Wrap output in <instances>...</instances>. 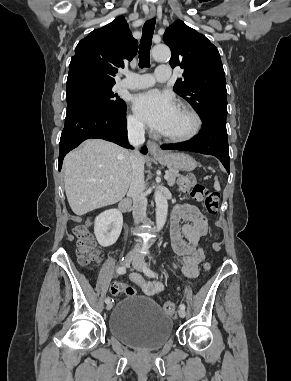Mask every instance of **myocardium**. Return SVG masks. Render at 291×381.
<instances>
[{
  "label": "myocardium",
  "mask_w": 291,
  "mask_h": 381,
  "mask_svg": "<svg viewBox=\"0 0 291 381\" xmlns=\"http://www.w3.org/2000/svg\"><path fill=\"white\" fill-rule=\"evenodd\" d=\"M178 107L188 112L193 118L194 124L192 129L188 133L183 135H168L164 133H162L161 135L166 140H169L172 142H178V143L187 142L194 139L200 133L202 129L203 121L198 111L192 105L188 103H179Z\"/></svg>",
  "instance_id": "f54148a6"
}]
</instances>
